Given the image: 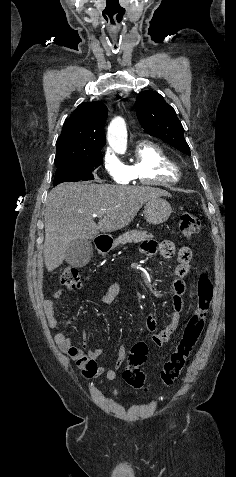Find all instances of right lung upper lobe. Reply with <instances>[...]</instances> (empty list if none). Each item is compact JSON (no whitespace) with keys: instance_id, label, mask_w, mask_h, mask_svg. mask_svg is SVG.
Here are the masks:
<instances>
[{"instance_id":"right-lung-upper-lobe-1","label":"right lung upper lobe","mask_w":236,"mask_h":477,"mask_svg":"<svg viewBox=\"0 0 236 477\" xmlns=\"http://www.w3.org/2000/svg\"><path fill=\"white\" fill-rule=\"evenodd\" d=\"M107 107L100 101L84 102L64 123L56 142L55 161L100 151L106 144L104 125Z\"/></svg>"}]
</instances>
